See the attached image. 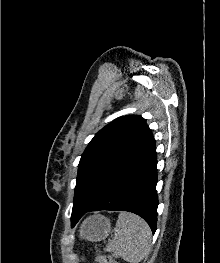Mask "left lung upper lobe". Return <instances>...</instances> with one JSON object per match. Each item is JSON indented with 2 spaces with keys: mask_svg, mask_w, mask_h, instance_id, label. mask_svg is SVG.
<instances>
[{
  "mask_svg": "<svg viewBox=\"0 0 220 263\" xmlns=\"http://www.w3.org/2000/svg\"><path fill=\"white\" fill-rule=\"evenodd\" d=\"M154 143L138 115L119 117L101 129L80 159L73 210L89 208Z\"/></svg>",
  "mask_w": 220,
  "mask_h": 263,
  "instance_id": "obj_1",
  "label": "left lung upper lobe"
}]
</instances>
